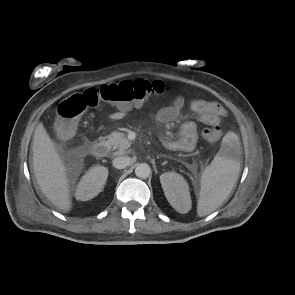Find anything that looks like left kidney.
<instances>
[{
    "mask_svg": "<svg viewBox=\"0 0 295 295\" xmlns=\"http://www.w3.org/2000/svg\"><path fill=\"white\" fill-rule=\"evenodd\" d=\"M160 182L169 204L179 213L189 212L191 197L184 177L176 172H166L160 176Z\"/></svg>",
    "mask_w": 295,
    "mask_h": 295,
    "instance_id": "5707ae66",
    "label": "left kidney"
}]
</instances>
